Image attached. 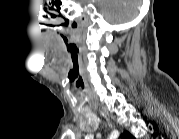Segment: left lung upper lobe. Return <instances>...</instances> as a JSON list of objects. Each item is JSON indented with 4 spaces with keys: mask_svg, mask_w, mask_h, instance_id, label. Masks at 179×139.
Masks as SVG:
<instances>
[{
    "mask_svg": "<svg viewBox=\"0 0 179 139\" xmlns=\"http://www.w3.org/2000/svg\"><path fill=\"white\" fill-rule=\"evenodd\" d=\"M122 136L126 139H133V136L129 132H125Z\"/></svg>",
    "mask_w": 179,
    "mask_h": 139,
    "instance_id": "1",
    "label": "left lung upper lobe"
}]
</instances>
